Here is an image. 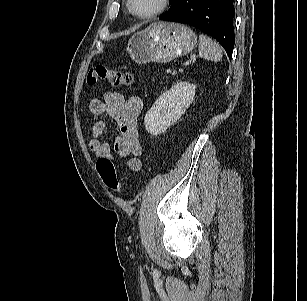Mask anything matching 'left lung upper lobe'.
<instances>
[{
  "label": "left lung upper lobe",
  "mask_w": 307,
  "mask_h": 301,
  "mask_svg": "<svg viewBox=\"0 0 307 301\" xmlns=\"http://www.w3.org/2000/svg\"><path fill=\"white\" fill-rule=\"evenodd\" d=\"M181 0H169V4H170V9L167 12L172 11L180 2ZM166 12V13H167Z\"/></svg>",
  "instance_id": "obj_1"
}]
</instances>
